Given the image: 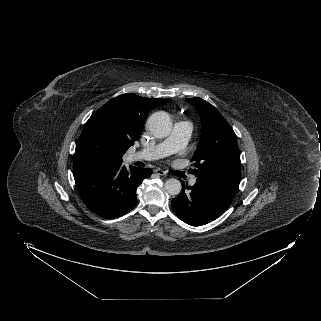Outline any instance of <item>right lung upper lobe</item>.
Segmentation results:
<instances>
[{
  "label": "right lung upper lobe",
  "mask_w": 321,
  "mask_h": 321,
  "mask_svg": "<svg viewBox=\"0 0 321 321\" xmlns=\"http://www.w3.org/2000/svg\"><path fill=\"white\" fill-rule=\"evenodd\" d=\"M170 99H150L134 94L119 95L95 111L85 127L100 125L118 143L123 154L138 140L148 112Z\"/></svg>",
  "instance_id": "1"
}]
</instances>
